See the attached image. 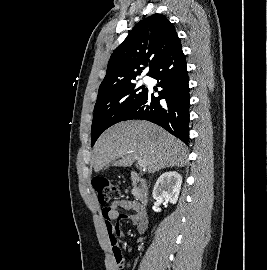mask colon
I'll use <instances>...</instances> for the list:
<instances>
[{
    "instance_id": "5ec220e1",
    "label": "colon",
    "mask_w": 267,
    "mask_h": 270,
    "mask_svg": "<svg viewBox=\"0 0 267 270\" xmlns=\"http://www.w3.org/2000/svg\"><path fill=\"white\" fill-rule=\"evenodd\" d=\"M93 187L97 193L98 200L101 204H107L111 200L117 199L120 196L119 187L111 179L107 177L95 178L93 180ZM114 254L117 261V265L119 266L120 270H124L122 269L124 259L119 247L115 246Z\"/></svg>"
}]
</instances>
